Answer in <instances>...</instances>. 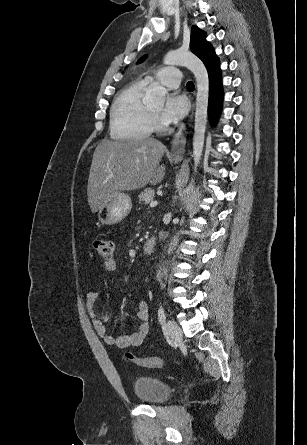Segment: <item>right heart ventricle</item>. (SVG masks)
Here are the masks:
<instances>
[{
  "label": "right heart ventricle",
  "mask_w": 307,
  "mask_h": 445,
  "mask_svg": "<svg viewBox=\"0 0 307 445\" xmlns=\"http://www.w3.org/2000/svg\"><path fill=\"white\" fill-rule=\"evenodd\" d=\"M146 87V82H135L114 100L110 115L113 139L149 140L152 122L144 103Z\"/></svg>",
  "instance_id": "1"
}]
</instances>
